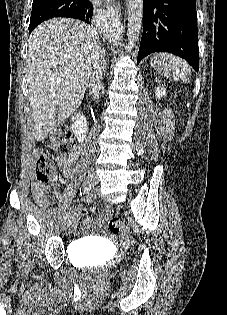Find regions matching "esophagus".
I'll return each instance as SVG.
<instances>
[{
  "mask_svg": "<svg viewBox=\"0 0 227 315\" xmlns=\"http://www.w3.org/2000/svg\"><path fill=\"white\" fill-rule=\"evenodd\" d=\"M110 11L113 12V13H116V15L118 16V12H119L118 6L111 5L110 6Z\"/></svg>",
  "mask_w": 227,
  "mask_h": 315,
  "instance_id": "obj_1",
  "label": "esophagus"
}]
</instances>
